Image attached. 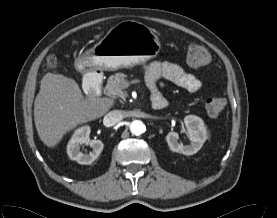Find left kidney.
Returning a JSON list of instances; mask_svg holds the SVG:
<instances>
[{"mask_svg": "<svg viewBox=\"0 0 277 218\" xmlns=\"http://www.w3.org/2000/svg\"><path fill=\"white\" fill-rule=\"evenodd\" d=\"M188 136L191 141L189 145H183L178 142L179 135L176 132H169L166 141L173 152L183 155H193L197 153L207 139V130L203 120L195 115H188L184 118Z\"/></svg>", "mask_w": 277, "mask_h": 218, "instance_id": "obj_1", "label": "left kidney"}]
</instances>
